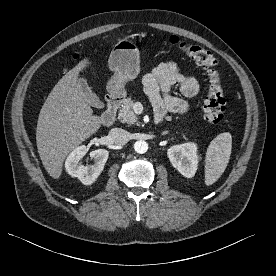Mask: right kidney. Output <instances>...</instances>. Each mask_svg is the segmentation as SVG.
<instances>
[{"instance_id":"ca27d5eb","label":"right kidney","mask_w":276,"mask_h":276,"mask_svg":"<svg viewBox=\"0 0 276 276\" xmlns=\"http://www.w3.org/2000/svg\"><path fill=\"white\" fill-rule=\"evenodd\" d=\"M88 149L85 145L75 148L67 157L65 169L72 177H77L84 185L93 184L103 171L109 152L105 149H97L90 153L94 164L84 166L80 160L86 155Z\"/></svg>"}]
</instances>
